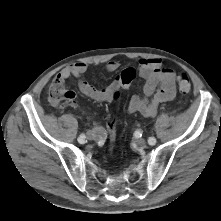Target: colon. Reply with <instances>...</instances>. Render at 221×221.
Listing matches in <instances>:
<instances>
[{
	"mask_svg": "<svg viewBox=\"0 0 221 221\" xmlns=\"http://www.w3.org/2000/svg\"><path fill=\"white\" fill-rule=\"evenodd\" d=\"M123 85H128L129 80H123ZM177 83L179 86V90L183 94H187L191 90V83L189 77L184 74L180 73L177 75ZM120 98L119 91H115L114 93V101L117 102ZM48 99L53 104H59L65 100L67 101H74L75 93L72 91H68L64 88L63 83L59 81H54L49 87L48 91ZM116 116L117 111L114 110L108 120V134L110 142H113L116 137Z\"/></svg>",
	"mask_w": 221,
	"mask_h": 221,
	"instance_id": "5ec220e1",
	"label": "colon"
}]
</instances>
